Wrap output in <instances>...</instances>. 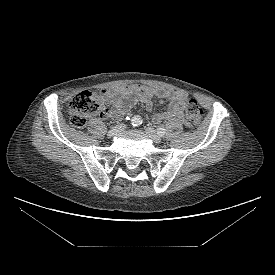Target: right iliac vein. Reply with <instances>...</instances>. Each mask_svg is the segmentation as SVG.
Here are the masks:
<instances>
[{
	"instance_id": "obj_1",
	"label": "right iliac vein",
	"mask_w": 275,
	"mask_h": 275,
	"mask_svg": "<svg viewBox=\"0 0 275 275\" xmlns=\"http://www.w3.org/2000/svg\"><path fill=\"white\" fill-rule=\"evenodd\" d=\"M123 130H124L123 124L117 125V126L113 127L111 130H109L107 136L109 138H112V137L118 135L119 133H121Z\"/></svg>"
}]
</instances>
